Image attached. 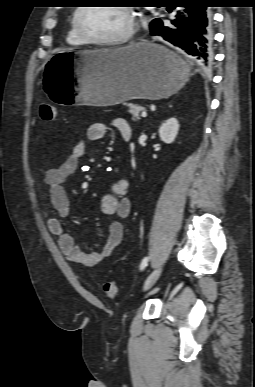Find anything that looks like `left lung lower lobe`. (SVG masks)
Returning <instances> with one entry per match:
<instances>
[{
  "mask_svg": "<svg viewBox=\"0 0 255 387\" xmlns=\"http://www.w3.org/2000/svg\"><path fill=\"white\" fill-rule=\"evenodd\" d=\"M180 3L186 4L185 13L171 21L173 27L164 26L162 20L154 19L150 23L151 35L163 37L190 55L198 65L208 66L213 58L212 11L209 5L214 4V0H182Z\"/></svg>",
  "mask_w": 255,
  "mask_h": 387,
  "instance_id": "0a47b994",
  "label": "left lung lower lobe"
}]
</instances>
